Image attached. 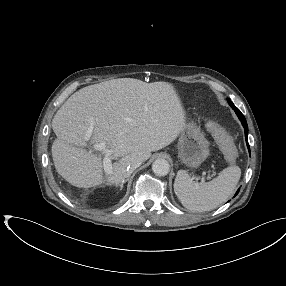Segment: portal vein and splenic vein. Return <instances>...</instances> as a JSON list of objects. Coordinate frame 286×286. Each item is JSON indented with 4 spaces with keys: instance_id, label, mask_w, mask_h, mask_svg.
Segmentation results:
<instances>
[{
    "instance_id": "obj_1",
    "label": "portal vein and splenic vein",
    "mask_w": 286,
    "mask_h": 286,
    "mask_svg": "<svg viewBox=\"0 0 286 286\" xmlns=\"http://www.w3.org/2000/svg\"><path fill=\"white\" fill-rule=\"evenodd\" d=\"M92 133V128H89V130L87 131V138H90ZM93 149L96 151H100L102 152V154L104 155V159H103V167H104V171L106 172V174H111L112 173V161H111V154H112V150H110L106 143L101 142V143H95L93 145Z\"/></svg>"
}]
</instances>
